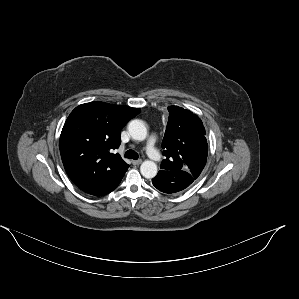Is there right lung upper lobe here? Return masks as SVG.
Returning a JSON list of instances; mask_svg holds the SVG:
<instances>
[{"label":"right lung upper lobe","instance_id":"right-lung-upper-lobe-1","mask_svg":"<svg viewBox=\"0 0 299 299\" xmlns=\"http://www.w3.org/2000/svg\"><path fill=\"white\" fill-rule=\"evenodd\" d=\"M140 109L104 102L76 107L60 136V154L70 179L84 192L102 196L120 183L129 165L119 154L120 130Z\"/></svg>","mask_w":299,"mask_h":299}]
</instances>
